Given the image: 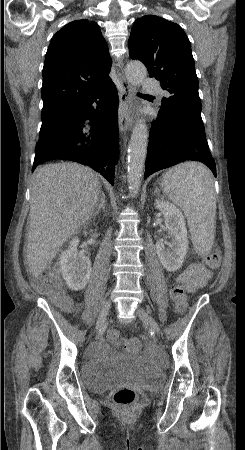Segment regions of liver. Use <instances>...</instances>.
Listing matches in <instances>:
<instances>
[{
    "instance_id": "obj_1",
    "label": "liver",
    "mask_w": 245,
    "mask_h": 450,
    "mask_svg": "<svg viewBox=\"0 0 245 450\" xmlns=\"http://www.w3.org/2000/svg\"><path fill=\"white\" fill-rule=\"evenodd\" d=\"M101 184L91 169L77 163L47 164L36 169L26 257L39 276L63 244L85 226L97 206Z\"/></svg>"
}]
</instances>
